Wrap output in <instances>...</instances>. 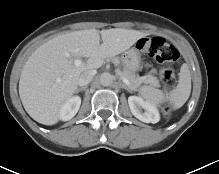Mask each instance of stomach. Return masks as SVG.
<instances>
[{"label": "stomach", "instance_id": "1", "mask_svg": "<svg viewBox=\"0 0 219 174\" xmlns=\"http://www.w3.org/2000/svg\"><path fill=\"white\" fill-rule=\"evenodd\" d=\"M123 64L126 70L132 73H135L136 71H138L141 65L140 49H138L137 47H133L127 50L124 54Z\"/></svg>", "mask_w": 219, "mask_h": 174}]
</instances>
